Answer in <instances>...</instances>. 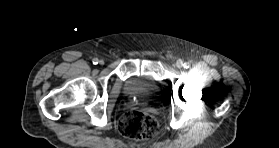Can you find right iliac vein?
I'll use <instances>...</instances> for the list:
<instances>
[{
  "instance_id": "obj_1",
  "label": "right iliac vein",
  "mask_w": 279,
  "mask_h": 148,
  "mask_svg": "<svg viewBox=\"0 0 279 148\" xmlns=\"http://www.w3.org/2000/svg\"><path fill=\"white\" fill-rule=\"evenodd\" d=\"M99 63H100L101 65H103V64H104V61H103V60H101Z\"/></svg>"
}]
</instances>
